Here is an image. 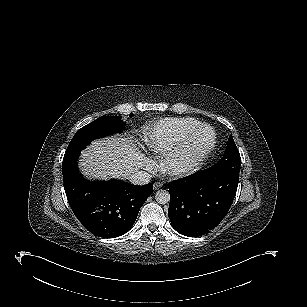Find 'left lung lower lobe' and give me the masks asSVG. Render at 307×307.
Listing matches in <instances>:
<instances>
[{
	"mask_svg": "<svg viewBox=\"0 0 307 307\" xmlns=\"http://www.w3.org/2000/svg\"><path fill=\"white\" fill-rule=\"evenodd\" d=\"M238 181L239 173L207 168L168 183V216L174 229L189 237L209 233L227 214Z\"/></svg>",
	"mask_w": 307,
	"mask_h": 307,
	"instance_id": "obj_1",
	"label": "left lung lower lobe"
}]
</instances>
